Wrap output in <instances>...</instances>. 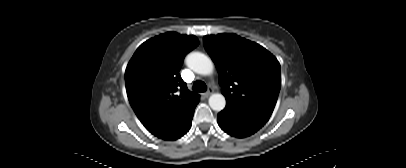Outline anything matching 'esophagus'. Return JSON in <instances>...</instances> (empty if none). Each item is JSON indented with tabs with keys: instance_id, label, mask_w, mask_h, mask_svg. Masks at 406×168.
<instances>
[{
	"instance_id": "1",
	"label": "esophagus",
	"mask_w": 406,
	"mask_h": 168,
	"mask_svg": "<svg viewBox=\"0 0 406 168\" xmlns=\"http://www.w3.org/2000/svg\"><path fill=\"white\" fill-rule=\"evenodd\" d=\"M212 93H213V89H212V88H209L208 91L205 92L203 95H204L205 97H208V96H210Z\"/></svg>"
}]
</instances>
